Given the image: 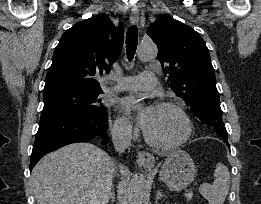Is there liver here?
<instances>
[{
    "instance_id": "1",
    "label": "liver",
    "mask_w": 261,
    "mask_h": 204,
    "mask_svg": "<svg viewBox=\"0 0 261 204\" xmlns=\"http://www.w3.org/2000/svg\"><path fill=\"white\" fill-rule=\"evenodd\" d=\"M115 167L105 151L90 143L51 152L31 174L37 204H107ZM120 172L127 175L126 169Z\"/></svg>"
}]
</instances>
